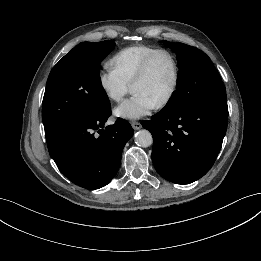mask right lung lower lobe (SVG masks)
Segmentation results:
<instances>
[{
  "instance_id": "obj_1",
  "label": "right lung lower lobe",
  "mask_w": 261,
  "mask_h": 261,
  "mask_svg": "<svg viewBox=\"0 0 261 261\" xmlns=\"http://www.w3.org/2000/svg\"><path fill=\"white\" fill-rule=\"evenodd\" d=\"M110 115L109 107L94 119L73 123L46 138L50 156L59 170L83 188L98 189L114 178L122 150L133 135L131 125L121 118L101 129Z\"/></svg>"
}]
</instances>
